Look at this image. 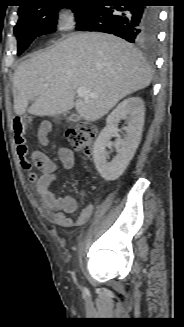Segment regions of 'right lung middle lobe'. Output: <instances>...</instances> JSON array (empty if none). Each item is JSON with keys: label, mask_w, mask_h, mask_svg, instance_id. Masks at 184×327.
Listing matches in <instances>:
<instances>
[{"label": "right lung middle lobe", "mask_w": 184, "mask_h": 327, "mask_svg": "<svg viewBox=\"0 0 184 327\" xmlns=\"http://www.w3.org/2000/svg\"><path fill=\"white\" fill-rule=\"evenodd\" d=\"M45 1L30 5L20 10L19 20L14 28L17 37V55L29 46L36 36L49 34L55 31L57 11L60 6L43 5ZM73 10L78 22L82 21L93 9L94 5L67 6Z\"/></svg>", "instance_id": "obj_1"}]
</instances>
